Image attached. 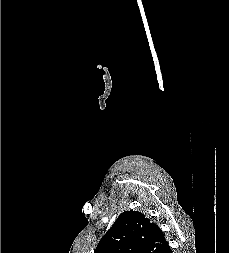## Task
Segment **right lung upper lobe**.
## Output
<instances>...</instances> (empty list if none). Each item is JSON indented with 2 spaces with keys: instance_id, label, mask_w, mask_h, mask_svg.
Masks as SVG:
<instances>
[{
  "instance_id": "right-lung-upper-lobe-1",
  "label": "right lung upper lobe",
  "mask_w": 229,
  "mask_h": 253,
  "mask_svg": "<svg viewBox=\"0 0 229 253\" xmlns=\"http://www.w3.org/2000/svg\"><path fill=\"white\" fill-rule=\"evenodd\" d=\"M162 230L144 214L125 211L99 242L94 253H165Z\"/></svg>"
}]
</instances>
